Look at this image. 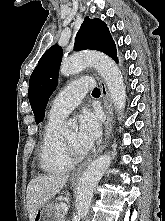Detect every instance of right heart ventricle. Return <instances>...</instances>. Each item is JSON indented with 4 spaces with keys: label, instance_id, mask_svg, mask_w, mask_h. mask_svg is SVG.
<instances>
[{
    "label": "right heart ventricle",
    "instance_id": "obj_1",
    "mask_svg": "<svg viewBox=\"0 0 165 221\" xmlns=\"http://www.w3.org/2000/svg\"><path fill=\"white\" fill-rule=\"evenodd\" d=\"M62 119L49 118L41 139L39 149L40 168L49 174L70 171L74 162L66 155L61 141L60 125Z\"/></svg>",
    "mask_w": 165,
    "mask_h": 221
}]
</instances>
